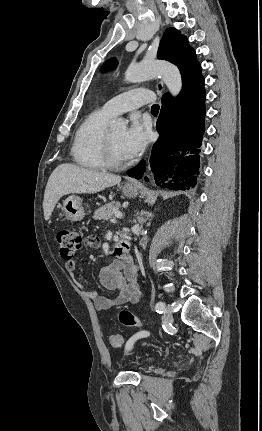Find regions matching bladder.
Segmentation results:
<instances>
[{
  "instance_id": "31cf9c89",
  "label": "bladder",
  "mask_w": 262,
  "mask_h": 431,
  "mask_svg": "<svg viewBox=\"0 0 262 431\" xmlns=\"http://www.w3.org/2000/svg\"><path fill=\"white\" fill-rule=\"evenodd\" d=\"M151 361H152V358H150V357L145 358V363L146 364L150 363Z\"/></svg>"
}]
</instances>
